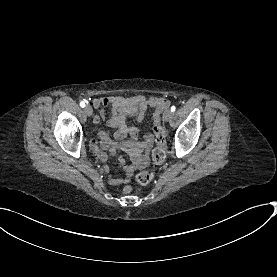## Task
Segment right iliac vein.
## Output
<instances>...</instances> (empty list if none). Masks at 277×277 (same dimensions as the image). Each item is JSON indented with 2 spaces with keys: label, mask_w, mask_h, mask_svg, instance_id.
Returning <instances> with one entry per match:
<instances>
[{
  "label": "right iliac vein",
  "mask_w": 277,
  "mask_h": 277,
  "mask_svg": "<svg viewBox=\"0 0 277 277\" xmlns=\"http://www.w3.org/2000/svg\"><path fill=\"white\" fill-rule=\"evenodd\" d=\"M84 112L86 113V115L91 116L93 114V109L90 105H87L84 109Z\"/></svg>",
  "instance_id": "right-iliac-vein-1"
}]
</instances>
